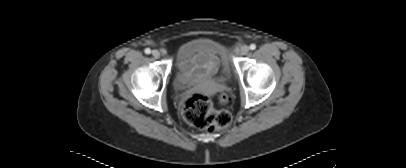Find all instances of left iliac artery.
<instances>
[{"mask_svg": "<svg viewBox=\"0 0 406 168\" xmlns=\"http://www.w3.org/2000/svg\"><path fill=\"white\" fill-rule=\"evenodd\" d=\"M250 49H251V50H255V49H256V45H255V44H251V45H250Z\"/></svg>", "mask_w": 406, "mask_h": 168, "instance_id": "44dca946", "label": "left iliac artery"}]
</instances>
